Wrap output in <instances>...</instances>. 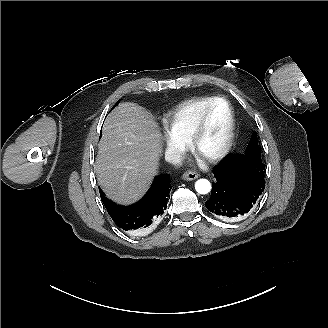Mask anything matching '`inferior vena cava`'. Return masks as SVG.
I'll return each instance as SVG.
<instances>
[{
	"instance_id": "602c4592",
	"label": "inferior vena cava",
	"mask_w": 328,
	"mask_h": 328,
	"mask_svg": "<svg viewBox=\"0 0 328 328\" xmlns=\"http://www.w3.org/2000/svg\"><path fill=\"white\" fill-rule=\"evenodd\" d=\"M181 152L175 146H168L165 150V161L169 163H174L180 161Z\"/></svg>"
}]
</instances>
